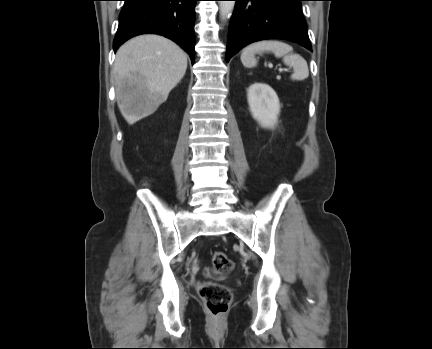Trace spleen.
Segmentation results:
<instances>
[{
    "label": "spleen",
    "instance_id": "1",
    "mask_svg": "<svg viewBox=\"0 0 432 349\" xmlns=\"http://www.w3.org/2000/svg\"><path fill=\"white\" fill-rule=\"evenodd\" d=\"M264 52H272L276 57H282L285 65L292 66V80L302 81L309 76L306 60L301 55L293 53V48L282 41L263 40L248 45L242 51L241 62L246 68H253L257 65L255 54Z\"/></svg>",
    "mask_w": 432,
    "mask_h": 349
}]
</instances>
